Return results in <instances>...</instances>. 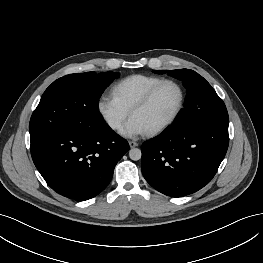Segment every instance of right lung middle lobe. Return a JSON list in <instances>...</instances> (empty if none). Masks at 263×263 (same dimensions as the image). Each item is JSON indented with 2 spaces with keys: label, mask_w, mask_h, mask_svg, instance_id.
Masks as SVG:
<instances>
[{
  "label": "right lung middle lobe",
  "mask_w": 263,
  "mask_h": 263,
  "mask_svg": "<svg viewBox=\"0 0 263 263\" xmlns=\"http://www.w3.org/2000/svg\"><path fill=\"white\" fill-rule=\"evenodd\" d=\"M119 73L86 72L54 81L44 92L29 124L31 143L60 130L104 122L98 110L104 89Z\"/></svg>",
  "instance_id": "1"
}]
</instances>
